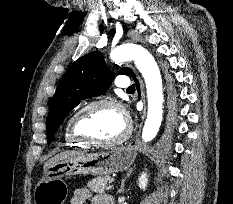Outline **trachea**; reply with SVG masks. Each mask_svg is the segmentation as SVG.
<instances>
[{
  "instance_id": "1",
  "label": "trachea",
  "mask_w": 233,
  "mask_h": 204,
  "mask_svg": "<svg viewBox=\"0 0 233 204\" xmlns=\"http://www.w3.org/2000/svg\"><path fill=\"white\" fill-rule=\"evenodd\" d=\"M134 89H135V85H132L127 89V91L134 90Z\"/></svg>"
}]
</instances>
